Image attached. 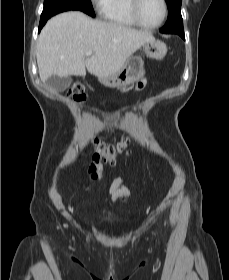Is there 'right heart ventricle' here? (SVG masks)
Here are the masks:
<instances>
[{
  "label": "right heart ventricle",
  "mask_w": 229,
  "mask_h": 280,
  "mask_svg": "<svg viewBox=\"0 0 229 280\" xmlns=\"http://www.w3.org/2000/svg\"><path fill=\"white\" fill-rule=\"evenodd\" d=\"M129 4L130 0H109L102 17L106 22L117 27H137L138 25L131 16Z\"/></svg>",
  "instance_id": "1"
}]
</instances>
